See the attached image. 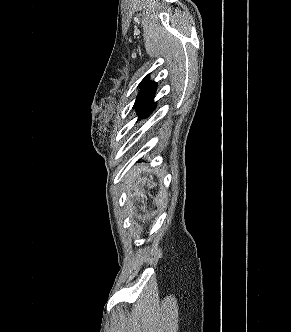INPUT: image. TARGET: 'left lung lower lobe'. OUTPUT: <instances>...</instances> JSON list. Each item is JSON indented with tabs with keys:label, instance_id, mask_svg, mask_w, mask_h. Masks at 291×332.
Instances as JSON below:
<instances>
[{
	"label": "left lung lower lobe",
	"instance_id": "0a47b994",
	"mask_svg": "<svg viewBox=\"0 0 291 332\" xmlns=\"http://www.w3.org/2000/svg\"><path fill=\"white\" fill-rule=\"evenodd\" d=\"M155 109V103L153 99L146 105L142 117H147ZM141 117V118H142Z\"/></svg>",
	"mask_w": 291,
	"mask_h": 332
}]
</instances>
